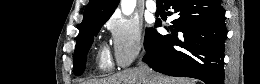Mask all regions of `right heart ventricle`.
Here are the masks:
<instances>
[{
  "label": "right heart ventricle",
  "instance_id": "e07e8e85",
  "mask_svg": "<svg viewBox=\"0 0 260 84\" xmlns=\"http://www.w3.org/2000/svg\"><path fill=\"white\" fill-rule=\"evenodd\" d=\"M96 66L101 70H108L111 67L110 59L104 48H101L97 53Z\"/></svg>",
  "mask_w": 260,
  "mask_h": 84
}]
</instances>
